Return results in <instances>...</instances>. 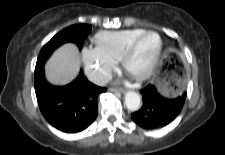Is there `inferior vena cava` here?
Wrapping results in <instances>:
<instances>
[{"label":"inferior vena cava","mask_w":225,"mask_h":155,"mask_svg":"<svg viewBox=\"0 0 225 155\" xmlns=\"http://www.w3.org/2000/svg\"><path fill=\"white\" fill-rule=\"evenodd\" d=\"M111 80H112V74L111 72H108V71L96 72L91 78V81L98 86H104Z\"/></svg>","instance_id":"1"}]
</instances>
